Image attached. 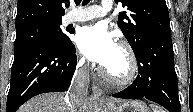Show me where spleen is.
<instances>
[{
	"label": "spleen",
	"instance_id": "3e777b00",
	"mask_svg": "<svg viewBox=\"0 0 193 112\" xmlns=\"http://www.w3.org/2000/svg\"><path fill=\"white\" fill-rule=\"evenodd\" d=\"M153 111H154V112H162V110H160V109H158V108H156V107H154V106H153Z\"/></svg>",
	"mask_w": 193,
	"mask_h": 112
}]
</instances>
